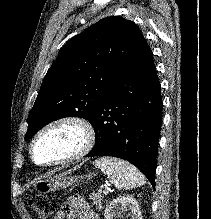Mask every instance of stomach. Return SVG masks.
Instances as JSON below:
<instances>
[{"label": "stomach", "instance_id": "obj_1", "mask_svg": "<svg viewBox=\"0 0 211 219\" xmlns=\"http://www.w3.org/2000/svg\"><path fill=\"white\" fill-rule=\"evenodd\" d=\"M90 177H92L91 174L85 176H69V173L65 172L56 175L53 178L38 182L35 184L34 189L37 192L50 193L56 190L67 188L80 182V180H84L86 178L89 179Z\"/></svg>", "mask_w": 211, "mask_h": 219}]
</instances>
